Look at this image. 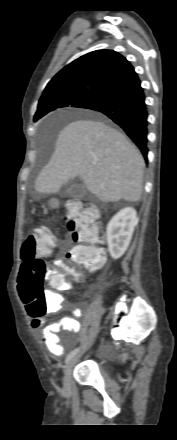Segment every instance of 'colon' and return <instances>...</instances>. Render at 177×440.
I'll use <instances>...</instances> for the list:
<instances>
[{
    "instance_id": "colon-1",
    "label": "colon",
    "mask_w": 177,
    "mask_h": 440,
    "mask_svg": "<svg viewBox=\"0 0 177 440\" xmlns=\"http://www.w3.org/2000/svg\"><path fill=\"white\" fill-rule=\"evenodd\" d=\"M67 228L74 246L66 252V260L48 263L43 256L55 246L54 235L44 227L33 228L25 237L21 247L23 265L19 278V293L29 314L42 317L47 310L44 285L49 282L59 289H65L68 279L81 280L79 267L99 269L105 252L100 245L105 240L101 224L97 222L98 212L94 207H83L77 201L66 206Z\"/></svg>"
}]
</instances>
